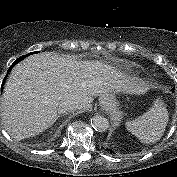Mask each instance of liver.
Wrapping results in <instances>:
<instances>
[{"label":"liver","mask_w":177,"mask_h":177,"mask_svg":"<svg viewBox=\"0 0 177 177\" xmlns=\"http://www.w3.org/2000/svg\"><path fill=\"white\" fill-rule=\"evenodd\" d=\"M134 82L102 61H76L53 52L31 55L8 76L1 103L4 126L16 140L35 136L58 119L66 100L91 107L93 97L132 93Z\"/></svg>","instance_id":"6515ba94"}]
</instances>
